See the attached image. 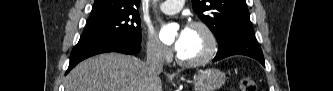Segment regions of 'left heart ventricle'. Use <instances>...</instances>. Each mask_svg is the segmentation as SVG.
<instances>
[{
    "instance_id": "b2bd125f",
    "label": "left heart ventricle",
    "mask_w": 333,
    "mask_h": 91,
    "mask_svg": "<svg viewBox=\"0 0 333 91\" xmlns=\"http://www.w3.org/2000/svg\"><path fill=\"white\" fill-rule=\"evenodd\" d=\"M208 41L198 28H188L186 40L179 55L188 60L201 57L207 50Z\"/></svg>"
}]
</instances>
